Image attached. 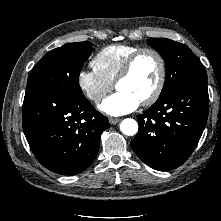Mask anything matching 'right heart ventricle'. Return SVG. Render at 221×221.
<instances>
[{
	"label": "right heart ventricle",
	"mask_w": 221,
	"mask_h": 221,
	"mask_svg": "<svg viewBox=\"0 0 221 221\" xmlns=\"http://www.w3.org/2000/svg\"><path fill=\"white\" fill-rule=\"evenodd\" d=\"M138 45L112 44L102 48L92 59V66L101 76L114 83L126 59L136 50Z\"/></svg>",
	"instance_id": "obj_1"
}]
</instances>
